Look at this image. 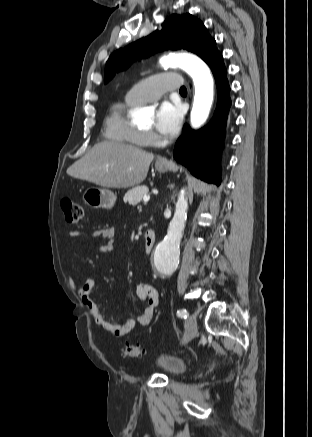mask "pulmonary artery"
I'll return each mask as SVG.
<instances>
[{"label": "pulmonary artery", "mask_w": 312, "mask_h": 437, "mask_svg": "<svg viewBox=\"0 0 312 437\" xmlns=\"http://www.w3.org/2000/svg\"><path fill=\"white\" fill-rule=\"evenodd\" d=\"M183 78L176 73H162L136 83L126 94V99L143 104L158 99L167 90L183 86Z\"/></svg>", "instance_id": "obj_1"}]
</instances>
